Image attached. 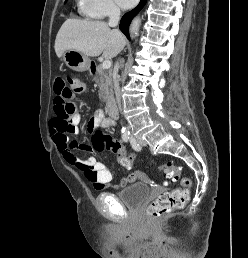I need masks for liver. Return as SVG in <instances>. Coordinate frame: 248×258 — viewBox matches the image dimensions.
<instances>
[{
    "label": "liver",
    "mask_w": 248,
    "mask_h": 258,
    "mask_svg": "<svg viewBox=\"0 0 248 258\" xmlns=\"http://www.w3.org/2000/svg\"><path fill=\"white\" fill-rule=\"evenodd\" d=\"M125 37L111 30L103 21L67 19L55 40L58 58L67 50H75L87 57L103 55L107 60L115 57L124 47Z\"/></svg>",
    "instance_id": "6515ba94"
}]
</instances>
